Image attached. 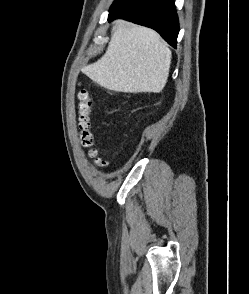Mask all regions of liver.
I'll list each match as a JSON object with an SVG mask.
<instances>
[{"mask_svg": "<svg viewBox=\"0 0 249 294\" xmlns=\"http://www.w3.org/2000/svg\"><path fill=\"white\" fill-rule=\"evenodd\" d=\"M171 57L158 33L119 20L114 23L106 53L83 71L108 90L158 93L167 83Z\"/></svg>", "mask_w": 249, "mask_h": 294, "instance_id": "1", "label": "liver"}]
</instances>
